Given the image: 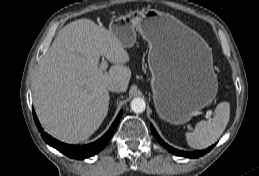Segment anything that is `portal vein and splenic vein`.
<instances>
[{"mask_svg": "<svg viewBox=\"0 0 259 176\" xmlns=\"http://www.w3.org/2000/svg\"><path fill=\"white\" fill-rule=\"evenodd\" d=\"M107 66H108L107 62L104 59H102L101 64H100L101 69L106 70ZM210 116H211V113L206 114V118H210Z\"/></svg>", "mask_w": 259, "mask_h": 176, "instance_id": "18ae733b", "label": "portal vein and splenic vein"}]
</instances>
